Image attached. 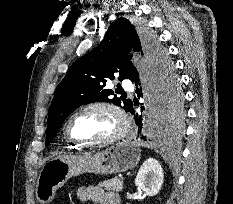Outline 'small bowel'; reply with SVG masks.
I'll use <instances>...</instances> for the list:
<instances>
[{"label":"small bowel","instance_id":"1","mask_svg":"<svg viewBox=\"0 0 233 204\" xmlns=\"http://www.w3.org/2000/svg\"><path fill=\"white\" fill-rule=\"evenodd\" d=\"M77 196L82 201H91L95 204H120L116 193L104 191L97 186L82 187L77 191Z\"/></svg>","mask_w":233,"mask_h":204}]
</instances>
